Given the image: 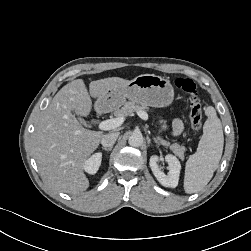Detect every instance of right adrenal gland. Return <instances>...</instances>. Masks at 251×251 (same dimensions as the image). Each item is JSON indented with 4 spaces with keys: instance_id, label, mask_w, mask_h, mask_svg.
I'll list each match as a JSON object with an SVG mask.
<instances>
[{
    "instance_id": "1",
    "label": "right adrenal gland",
    "mask_w": 251,
    "mask_h": 251,
    "mask_svg": "<svg viewBox=\"0 0 251 251\" xmlns=\"http://www.w3.org/2000/svg\"><path fill=\"white\" fill-rule=\"evenodd\" d=\"M102 150H105V151H111V150H112V147H109V148L102 147Z\"/></svg>"
}]
</instances>
